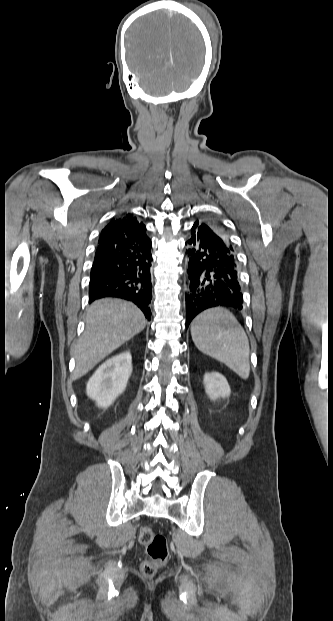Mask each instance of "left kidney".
I'll list each match as a JSON object with an SVG mask.
<instances>
[{"label": "left kidney", "instance_id": "left-kidney-1", "mask_svg": "<svg viewBox=\"0 0 333 621\" xmlns=\"http://www.w3.org/2000/svg\"><path fill=\"white\" fill-rule=\"evenodd\" d=\"M204 386L211 400L228 398L231 394V389L226 378L217 372L206 373L204 375Z\"/></svg>", "mask_w": 333, "mask_h": 621}]
</instances>
